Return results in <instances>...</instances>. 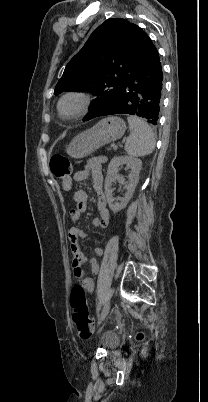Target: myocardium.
Listing matches in <instances>:
<instances>
[{"label": "myocardium", "mask_w": 208, "mask_h": 402, "mask_svg": "<svg viewBox=\"0 0 208 402\" xmlns=\"http://www.w3.org/2000/svg\"><path fill=\"white\" fill-rule=\"evenodd\" d=\"M72 98L79 99L81 101V106L76 112L66 115L62 111V106L67 100L72 99ZM91 105H92V99L88 94H86L84 92H80V91H68L59 98L57 105H56V111H57V115L60 119L73 120V119L80 118V117L84 116L85 114H87L91 108Z\"/></svg>", "instance_id": "f54148a6"}]
</instances>
